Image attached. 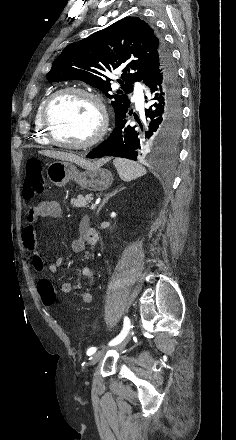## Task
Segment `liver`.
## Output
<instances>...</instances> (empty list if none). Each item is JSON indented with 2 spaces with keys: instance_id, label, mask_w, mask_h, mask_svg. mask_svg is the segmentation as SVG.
Masks as SVG:
<instances>
[{
  "instance_id": "1",
  "label": "liver",
  "mask_w": 236,
  "mask_h": 440,
  "mask_svg": "<svg viewBox=\"0 0 236 440\" xmlns=\"http://www.w3.org/2000/svg\"><path fill=\"white\" fill-rule=\"evenodd\" d=\"M40 154L52 157L55 159L63 160V161H70L73 163H76L82 167H100L103 163H105L106 160H99L97 162H89L82 157H79L78 155H75L73 153H66V152H60V151H50V150H42L39 151Z\"/></svg>"
}]
</instances>
